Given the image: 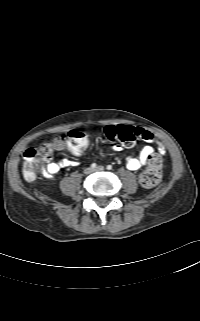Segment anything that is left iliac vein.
I'll list each match as a JSON object with an SVG mask.
<instances>
[{"label":"left iliac vein","instance_id":"obj_1","mask_svg":"<svg viewBox=\"0 0 200 321\" xmlns=\"http://www.w3.org/2000/svg\"><path fill=\"white\" fill-rule=\"evenodd\" d=\"M104 167L103 166H98L96 169H94V171H103Z\"/></svg>","mask_w":200,"mask_h":321}]
</instances>
